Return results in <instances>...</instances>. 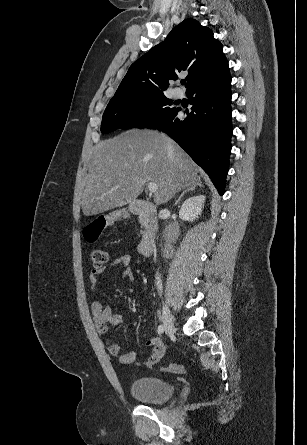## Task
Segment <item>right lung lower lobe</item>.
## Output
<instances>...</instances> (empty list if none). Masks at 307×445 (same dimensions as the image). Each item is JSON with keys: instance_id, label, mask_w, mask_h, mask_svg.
<instances>
[{"instance_id": "right-lung-lower-lobe-1", "label": "right lung lower lobe", "mask_w": 307, "mask_h": 445, "mask_svg": "<svg viewBox=\"0 0 307 445\" xmlns=\"http://www.w3.org/2000/svg\"><path fill=\"white\" fill-rule=\"evenodd\" d=\"M192 112L182 120L171 115L152 126L173 138L224 193L231 151V76L228 62L187 89ZM194 96V97H193Z\"/></svg>"}]
</instances>
